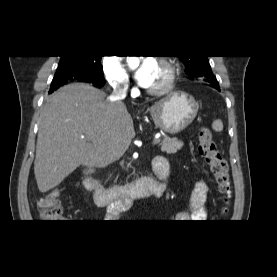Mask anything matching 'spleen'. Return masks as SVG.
I'll return each mask as SVG.
<instances>
[{"label":"spleen","mask_w":277,"mask_h":277,"mask_svg":"<svg viewBox=\"0 0 277 277\" xmlns=\"http://www.w3.org/2000/svg\"><path fill=\"white\" fill-rule=\"evenodd\" d=\"M212 128L213 130L217 131V132H221L223 130V123L221 120H215L212 123Z\"/></svg>","instance_id":"obj_1"}]
</instances>
